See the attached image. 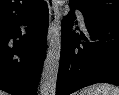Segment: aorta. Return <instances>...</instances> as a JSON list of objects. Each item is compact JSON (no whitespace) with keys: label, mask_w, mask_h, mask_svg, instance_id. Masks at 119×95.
<instances>
[{"label":"aorta","mask_w":119,"mask_h":95,"mask_svg":"<svg viewBox=\"0 0 119 95\" xmlns=\"http://www.w3.org/2000/svg\"><path fill=\"white\" fill-rule=\"evenodd\" d=\"M67 0H56L59 7H63ZM61 55V25H55L53 35L47 50L40 82V95H55L57 75Z\"/></svg>","instance_id":"1"}]
</instances>
